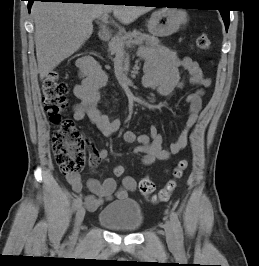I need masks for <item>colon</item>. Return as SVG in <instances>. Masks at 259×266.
Masks as SVG:
<instances>
[{
	"instance_id": "1",
	"label": "colon",
	"mask_w": 259,
	"mask_h": 266,
	"mask_svg": "<svg viewBox=\"0 0 259 266\" xmlns=\"http://www.w3.org/2000/svg\"><path fill=\"white\" fill-rule=\"evenodd\" d=\"M196 45L201 50H209L211 41L207 33L201 32L196 38ZM44 111L50 121L56 125L52 137V148L55 161L63 174H78L84 167L87 139L79 132L74 122L65 113L68 107L67 84L57 72L47 75L42 86ZM188 168L186 160H180L173 168L172 176L165 186L155 194V184L149 176L139 182V191L153 203L167 201ZM116 176H123L125 168L121 165L114 168Z\"/></svg>"
}]
</instances>
